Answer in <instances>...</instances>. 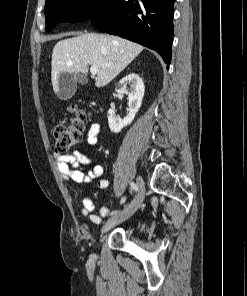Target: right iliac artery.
<instances>
[{
  "instance_id": "right-iliac-artery-1",
  "label": "right iliac artery",
  "mask_w": 247,
  "mask_h": 296,
  "mask_svg": "<svg viewBox=\"0 0 247 296\" xmlns=\"http://www.w3.org/2000/svg\"><path fill=\"white\" fill-rule=\"evenodd\" d=\"M130 185H131V188H132L134 191H138V186H137V184H135L134 182H131ZM116 213H117V211H113V212L111 213V215L116 214Z\"/></svg>"
}]
</instances>
